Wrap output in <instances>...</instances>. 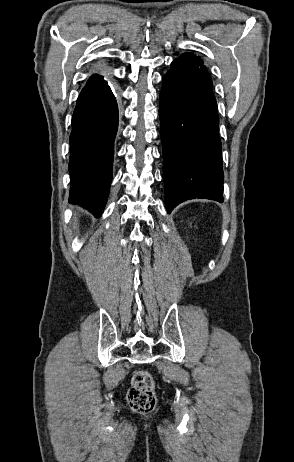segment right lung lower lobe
<instances>
[{"instance_id":"98d812e1","label":"right lung lower lobe","mask_w":294,"mask_h":462,"mask_svg":"<svg viewBox=\"0 0 294 462\" xmlns=\"http://www.w3.org/2000/svg\"><path fill=\"white\" fill-rule=\"evenodd\" d=\"M118 106L103 77L89 79L82 89L72 117L70 135V202L99 217L112 178Z\"/></svg>"}]
</instances>
